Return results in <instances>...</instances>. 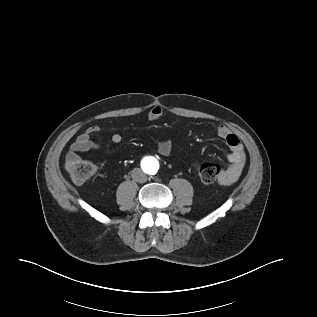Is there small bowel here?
<instances>
[{
    "mask_svg": "<svg viewBox=\"0 0 317 317\" xmlns=\"http://www.w3.org/2000/svg\"><path fill=\"white\" fill-rule=\"evenodd\" d=\"M163 117V110L160 106H154L148 113L150 121H158ZM100 128L97 125L88 127L84 133L80 134L75 142L71 145L70 151L67 154V161L79 160V153L95 150L99 145L93 141V137L99 134ZM217 136L223 140L229 149L228 160L229 166L223 169L218 178L221 185H231L235 183L241 175L245 163L246 155L240 139L232 133L229 128L224 125H219L216 128ZM113 143H120L122 136L120 134H113L111 136ZM158 152L163 156H168L173 144L170 140H162L157 145Z\"/></svg>",
    "mask_w": 317,
    "mask_h": 317,
    "instance_id": "c3829d8e",
    "label": "small bowel"
}]
</instances>
